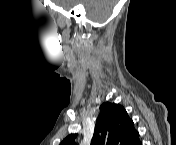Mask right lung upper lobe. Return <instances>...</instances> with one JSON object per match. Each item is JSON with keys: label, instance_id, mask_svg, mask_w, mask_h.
Returning a JSON list of instances; mask_svg holds the SVG:
<instances>
[{"label": "right lung upper lobe", "instance_id": "cb5924a9", "mask_svg": "<svg viewBox=\"0 0 176 145\" xmlns=\"http://www.w3.org/2000/svg\"><path fill=\"white\" fill-rule=\"evenodd\" d=\"M77 134L68 135L61 145H76ZM139 133L134 128L123 106L105 102L100 107V114L91 145H139Z\"/></svg>", "mask_w": 176, "mask_h": 145}]
</instances>
